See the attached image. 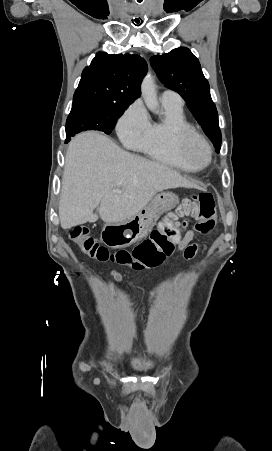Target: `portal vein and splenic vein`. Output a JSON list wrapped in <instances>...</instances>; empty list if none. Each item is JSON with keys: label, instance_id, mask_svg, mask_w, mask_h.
Returning <instances> with one entry per match:
<instances>
[{"label": "portal vein and splenic vein", "instance_id": "18ae733b", "mask_svg": "<svg viewBox=\"0 0 272 451\" xmlns=\"http://www.w3.org/2000/svg\"><path fill=\"white\" fill-rule=\"evenodd\" d=\"M112 192H117V194H123V190H119V188H113Z\"/></svg>", "mask_w": 272, "mask_h": 451}]
</instances>
